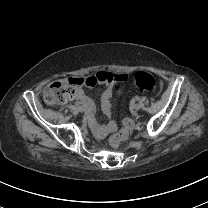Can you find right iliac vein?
<instances>
[{
    "label": "right iliac vein",
    "mask_w": 208,
    "mask_h": 208,
    "mask_svg": "<svg viewBox=\"0 0 208 208\" xmlns=\"http://www.w3.org/2000/svg\"><path fill=\"white\" fill-rule=\"evenodd\" d=\"M78 110H79V112H84V111H85V109H84L83 106H80V107L78 108Z\"/></svg>",
    "instance_id": "1"
}]
</instances>
